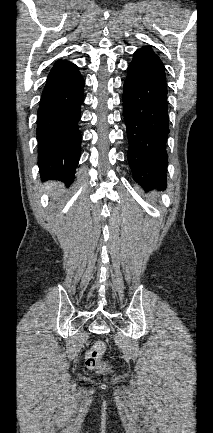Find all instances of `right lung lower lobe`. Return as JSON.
<instances>
[{
  "label": "right lung lower lobe",
  "instance_id": "1",
  "mask_svg": "<svg viewBox=\"0 0 213 433\" xmlns=\"http://www.w3.org/2000/svg\"><path fill=\"white\" fill-rule=\"evenodd\" d=\"M84 80L75 64L59 60L51 69L38 108V165L43 180L72 183L80 158L78 129Z\"/></svg>",
  "mask_w": 213,
  "mask_h": 433
}]
</instances>
